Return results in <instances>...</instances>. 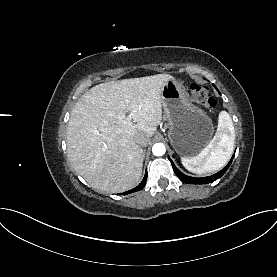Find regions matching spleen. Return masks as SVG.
Wrapping results in <instances>:
<instances>
[{
  "label": "spleen",
  "instance_id": "obj_1",
  "mask_svg": "<svg viewBox=\"0 0 277 277\" xmlns=\"http://www.w3.org/2000/svg\"><path fill=\"white\" fill-rule=\"evenodd\" d=\"M235 141L234 125L230 115L221 111L218 127L210 143L195 157H182L183 166L196 174L213 173L224 167L229 161Z\"/></svg>",
  "mask_w": 277,
  "mask_h": 277
}]
</instances>
